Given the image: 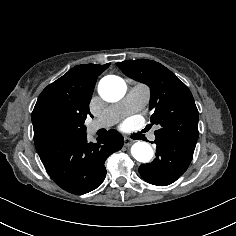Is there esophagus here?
I'll list each match as a JSON object with an SVG mask.
<instances>
[{
  "label": "esophagus",
  "instance_id": "1",
  "mask_svg": "<svg viewBox=\"0 0 236 236\" xmlns=\"http://www.w3.org/2000/svg\"><path fill=\"white\" fill-rule=\"evenodd\" d=\"M133 143V141L129 140V139H125V145L126 146H130Z\"/></svg>",
  "mask_w": 236,
  "mask_h": 236
}]
</instances>
